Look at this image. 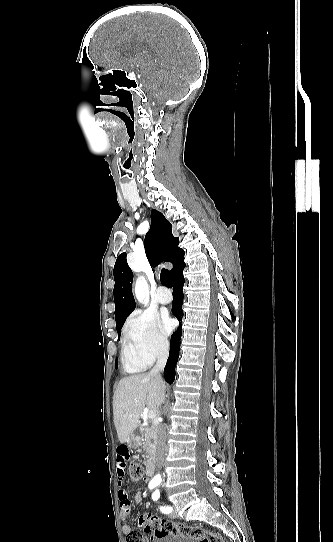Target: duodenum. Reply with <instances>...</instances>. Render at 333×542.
I'll use <instances>...</instances> for the list:
<instances>
[{
	"label": "duodenum",
	"instance_id": "1",
	"mask_svg": "<svg viewBox=\"0 0 333 542\" xmlns=\"http://www.w3.org/2000/svg\"><path fill=\"white\" fill-rule=\"evenodd\" d=\"M153 472H154V462L153 460H149L146 464V475L152 476Z\"/></svg>",
	"mask_w": 333,
	"mask_h": 542
}]
</instances>
